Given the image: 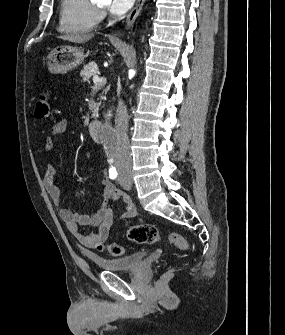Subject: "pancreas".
<instances>
[{"label": "pancreas", "mask_w": 285, "mask_h": 335, "mask_svg": "<svg viewBox=\"0 0 285 335\" xmlns=\"http://www.w3.org/2000/svg\"><path fill=\"white\" fill-rule=\"evenodd\" d=\"M93 70V71H92ZM98 72L97 64H88V66H84V70L80 72V77L82 78L83 84H92L95 73ZM102 98V96H101ZM94 112L91 114V117L95 120H98V116L101 114V107L96 105L94 107Z\"/></svg>", "instance_id": "cf45deb5"}]
</instances>
